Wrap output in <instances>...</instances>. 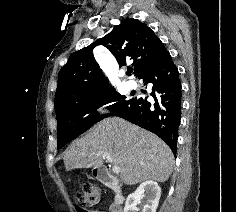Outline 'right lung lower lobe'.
<instances>
[{
  "label": "right lung lower lobe",
  "instance_id": "1",
  "mask_svg": "<svg viewBox=\"0 0 236 212\" xmlns=\"http://www.w3.org/2000/svg\"><path fill=\"white\" fill-rule=\"evenodd\" d=\"M144 85L152 84L154 102L135 97L113 115L124 118L163 139L176 155L181 119V83L177 67L163 46L139 75Z\"/></svg>",
  "mask_w": 236,
  "mask_h": 212
}]
</instances>
